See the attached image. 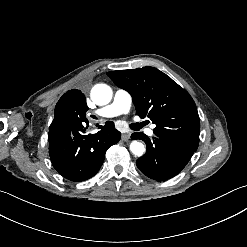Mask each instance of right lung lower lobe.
<instances>
[{"label": "right lung lower lobe", "instance_id": "98d812e1", "mask_svg": "<svg viewBox=\"0 0 247 247\" xmlns=\"http://www.w3.org/2000/svg\"><path fill=\"white\" fill-rule=\"evenodd\" d=\"M87 124V126H85ZM88 120L68 131L49 134V155L55 170L64 178L80 182L93 177L107 149L119 142L121 133L106 122L96 134H86Z\"/></svg>", "mask_w": 247, "mask_h": 247}]
</instances>
